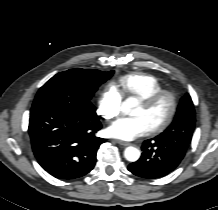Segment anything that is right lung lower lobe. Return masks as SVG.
Masks as SVG:
<instances>
[{"instance_id": "1", "label": "right lung lower lobe", "mask_w": 218, "mask_h": 210, "mask_svg": "<svg viewBox=\"0 0 218 210\" xmlns=\"http://www.w3.org/2000/svg\"><path fill=\"white\" fill-rule=\"evenodd\" d=\"M101 127L96 114L43 104L31 108L28 132L41 167L58 179L70 180L94 168L103 142L95 133Z\"/></svg>"}]
</instances>
